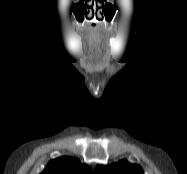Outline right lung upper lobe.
<instances>
[{
	"instance_id": "right-lung-upper-lobe-1",
	"label": "right lung upper lobe",
	"mask_w": 187,
	"mask_h": 174,
	"mask_svg": "<svg viewBox=\"0 0 187 174\" xmlns=\"http://www.w3.org/2000/svg\"><path fill=\"white\" fill-rule=\"evenodd\" d=\"M41 174H92V170L78 159L64 156L51 160Z\"/></svg>"
}]
</instances>
